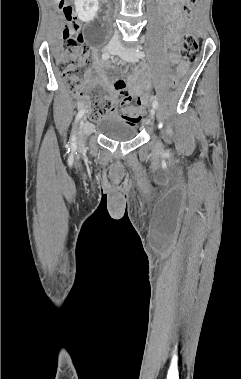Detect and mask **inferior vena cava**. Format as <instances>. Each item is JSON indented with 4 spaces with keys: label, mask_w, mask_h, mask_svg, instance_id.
Wrapping results in <instances>:
<instances>
[{
    "label": "inferior vena cava",
    "mask_w": 241,
    "mask_h": 379,
    "mask_svg": "<svg viewBox=\"0 0 241 379\" xmlns=\"http://www.w3.org/2000/svg\"><path fill=\"white\" fill-rule=\"evenodd\" d=\"M114 40H118L119 39V35H118V32L115 31V34H114V37H113Z\"/></svg>",
    "instance_id": "inferior-vena-cava-1"
}]
</instances>
